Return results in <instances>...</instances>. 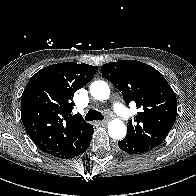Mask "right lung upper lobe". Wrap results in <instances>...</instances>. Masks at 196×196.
<instances>
[{
	"mask_svg": "<svg viewBox=\"0 0 196 196\" xmlns=\"http://www.w3.org/2000/svg\"><path fill=\"white\" fill-rule=\"evenodd\" d=\"M96 66L64 62L38 71L21 97V119L31 140L44 152L56 154L71 146L91 124L71 115L74 93L84 87Z\"/></svg>",
	"mask_w": 196,
	"mask_h": 196,
	"instance_id": "obj_1",
	"label": "right lung upper lobe"
}]
</instances>
